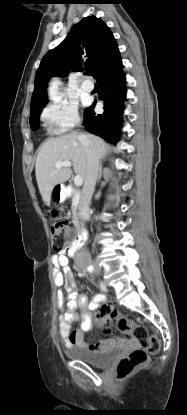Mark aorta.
<instances>
[{"label": "aorta", "instance_id": "762f6f07", "mask_svg": "<svg viewBox=\"0 0 187 415\" xmlns=\"http://www.w3.org/2000/svg\"><path fill=\"white\" fill-rule=\"evenodd\" d=\"M57 85L58 81H53L49 89V97L52 101H59L58 93H57Z\"/></svg>", "mask_w": 187, "mask_h": 415}]
</instances>
